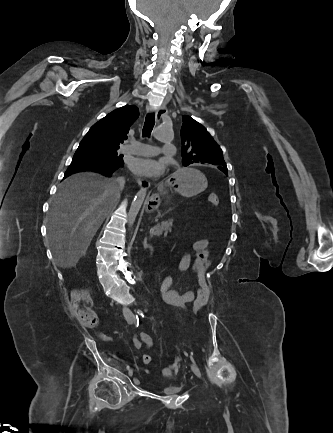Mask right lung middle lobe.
Segmentation results:
<instances>
[{
    "instance_id": "dd1d6c3e",
    "label": "right lung middle lobe",
    "mask_w": 333,
    "mask_h": 433,
    "mask_svg": "<svg viewBox=\"0 0 333 433\" xmlns=\"http://www.w3.org/2000/svg\"><path fill=\"white\" fill-rule=\"evenodd\" d=\"M117 149H104L94 146L86 141H81L73 158L96 159L106 162H118L121 157L117 155Z\"/></svg>"
}]
</instances>
